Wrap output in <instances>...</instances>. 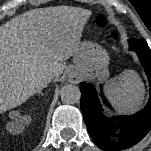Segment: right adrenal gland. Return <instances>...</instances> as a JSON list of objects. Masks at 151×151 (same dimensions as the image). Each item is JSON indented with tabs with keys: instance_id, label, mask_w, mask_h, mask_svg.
<instances>
[{
	"instance_id": "obj_1",
	"label": "right adrenal gland",
	"mask_w": 151,
	"mask_h": 151,
	"mask_svg": "<svg viewBox=\"0 0 151 151\" xmlns=\"http://www.w3.org/2000/svg\"><path fill=\"white\" fill-rule=\"evenodd\" d=\"M38 94H39V95H42V96L44 95L41 91H39Z\"/></svg>"
}]
</instances>
